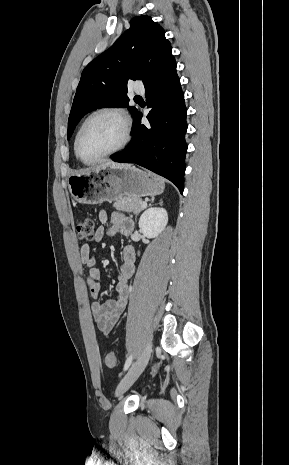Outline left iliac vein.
Returning <instances> with one entry per match:
<instances>
[{
	"label": "left iliac vein",
	"instance_id": "left-iliac-vein-1",
	"mask_svg": "<svg viewBox=\"0 0 289 465\" xmlns=\"http://www.w3.org/2000/svg\"><path fill=\"white\" fill-rule=\"evenodd\" d=\"M151 352L152 342L149 341L144 347L139 357L137 358V360L134 362V364L125 374L123 379L120 381L116 389V396H121L123 393H125L141 375L149 361Z\"/></svg>",
	"mask_w": 289,
	"mask_h": 465
}]
</instances>
